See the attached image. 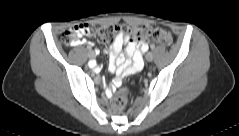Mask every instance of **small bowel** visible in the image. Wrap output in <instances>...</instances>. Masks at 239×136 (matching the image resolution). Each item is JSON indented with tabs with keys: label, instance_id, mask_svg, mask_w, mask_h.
Masks as SVG:
<instances>
[{
	"label": "small bowel",
	"instance_id": "obj_1",
	"mask_svg": "<svg viewBox=\"0 0 239 136\" xmlns=\"http://www.w3.org/2000/svg\"><path fill=\"white\" fill-rule=\"evenodd\" d=\"M126 44L124 57L121 54L123 45ZM148 50V45L145 42H135L120 31L113 41L110 48L109 70L117 73L118 77L114 81V85L120 84V77L126 72L143 67V54Z\"/></svg>",
	"mask_w": 239,
	"mask_h": 136
}]
</instances>
